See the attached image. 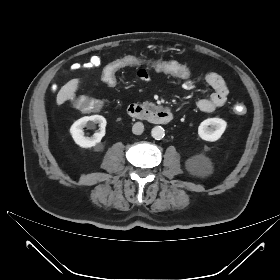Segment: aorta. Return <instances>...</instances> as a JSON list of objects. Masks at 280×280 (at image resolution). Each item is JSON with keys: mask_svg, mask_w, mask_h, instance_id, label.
Wrapping results in <instances>:
<instances>
[{"mask_svg": "<svg viewBox=\"0 0 280 280\" xmlns=\"http://www.w3.org/2000/svg\"><path fill=\"white\" fill-rule=\"evenodd\" d=\"M151 135L154 139L161 140L165 135V131L161 126H155L151 131Z\"/></svg>", "mask_w": 280, "mask_h": 280, "instance_id": "1", "label": "aorta"}]
</instances>
